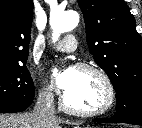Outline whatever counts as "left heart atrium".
Returning <instances> with one entry per match:
<instances>
[{
    "mask_svg": "<svg viewBox=\"0 0 142 128\" xmlns=\"http://www.w3.org/2000/svg\"><path fill=\"white\" fill-rule=\"evenodd\" d=\"M52 79L56 87L65 95L74 87L77 80V71L74 68H54Z\"/></svg>",
    "mask_w": 142,
    "mask_h": 128,
    "instance_id": "left-heart-atrium-1",
    "label": "left heart atrium"
}]
</instances>
